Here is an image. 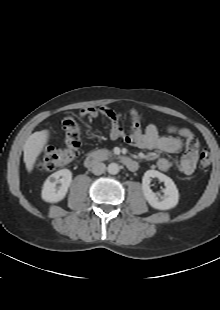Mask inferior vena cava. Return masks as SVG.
<instances>
[{"label":"inferior vena cava","instance_id":"1","mask_svg":"<svg viewBox=\"0 0 220 310\" xmlns=\"http://www.w3.org/2000/svg\"><path fill=\"white\" fill-rule=\"evenodd\" d=\"M106 165L102 162H95L92 166V173L95 175H101L105 172Z\"/></svg>","mask_w":220,"mask_h":310}]
</instances>
